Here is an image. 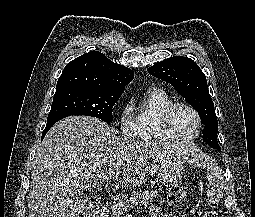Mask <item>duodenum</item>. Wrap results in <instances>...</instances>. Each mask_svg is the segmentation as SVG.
Wrapping results in <instances>:
<instances>
[{
	"mask_svg": "<svg viewBox=\"0 0 255 217\" xmlns=\"http://www.w3.org/2000/svg\"><path fill=\"white\" fill-rule=\"evenodd\" d=\"M107 214H108V210L106 208H101V209L96 210L93 213L92 217H107Z\"/></svg>",
	"mask_w": 255,
	"mask_h": 217,
	"instance_id": "duodenum-1",
	"label": "duodenum"
}]
</instances>
